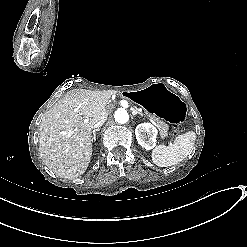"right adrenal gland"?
<instances>
[{"label":"right adrenal gland","instance_id":"right-adrenal-gland-1","mask_svg":"<svg viewBox=\"0 0 247 247\" xmlns=\"http://www.w3.org/2000/svg\"><path fill=\"white\" fill-rule=\"evenodd\" d=\"M100 129H95L93 130V139H92V142H96V132H99Z\"/></svg>","mask_w":247,"mask_h":247}]
</instances>
